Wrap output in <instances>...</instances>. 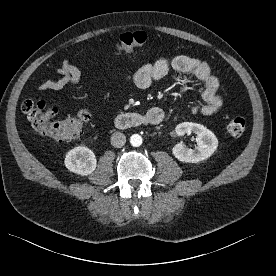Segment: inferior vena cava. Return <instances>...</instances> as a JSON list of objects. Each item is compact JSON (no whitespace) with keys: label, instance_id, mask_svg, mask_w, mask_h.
<instances>
[{"label":"inferior vena cava","instance_id":"1","mask_svg":"<svg viewBox=\"0 0 276 276\" xmlns=\"http://www.w3.org/2000/svg\"><path fill=\"white\" fill-rule=\"evenodd\" d=\"M126 143V137L121 132H115L111 136V144L116 148H121Z\"/></svg>","mask_w":276,"mask_h":276}]
</instances>
